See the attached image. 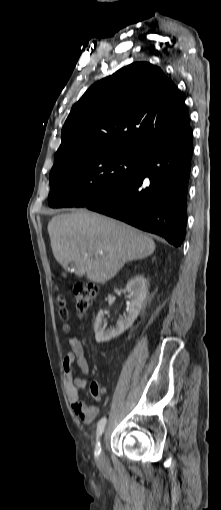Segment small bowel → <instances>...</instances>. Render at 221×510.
<instances>
[{"label": "small bowel", "mask_w": 221, "mask_h": 510, "mask_svg": "<svg viewBox=\"0 0 221 510\" xmlns=\"http://www.w3.org/2000/svg\"><path fill=\"white\" fill-rule=\"evenodd\" d=\"M71 351L63 359L65 390L74 413L86 424H90L98 415L96 407H89L80 399L79 390L84 389L88 383L90 367L84 353V345L77 337L69 339ZM74 365L78 367L83 377H76Z\"/></svg>", "instance_id": "c3829d8e"}]
</instances>
